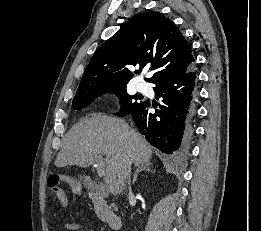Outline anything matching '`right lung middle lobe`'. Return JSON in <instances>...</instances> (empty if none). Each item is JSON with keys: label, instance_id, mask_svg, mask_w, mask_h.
<instances>
[{"label": "right lung middle lobe", "instance_id": "dd1d6c3e", "mask_svg": "<svg viewBox=\"0 0 261 231\" xmlns=\"http://www.w3.org/2000/svg\"><path fill=\"white\" fill-rule=\"evenodd\" d=\"M111 92L115 93L120 98L121 109L117 114L118 116H125L129 112L133 111L137 107H139L143 101L138 102V96H130L126 92V86H121L108 90H98L86 94L76 95L73 99V108L77 110H81L87 105H89L92 101H94L97 97L102 95L103 93Z\"/></svg>", "mask_w": 261, "mask_h": 231}]
</instances>
